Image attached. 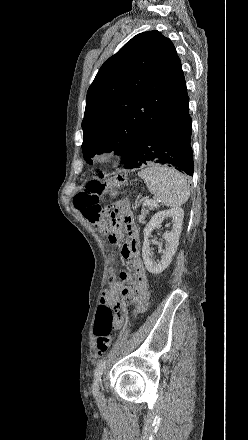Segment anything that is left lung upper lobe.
I'll use <instances>...</instances> for the list:
<instances>
[{
    "instance_id": "5c2ea615",
    "label": "left lung upper lobe",
    "mask_w": 248,
    "mask_h": 440,
    "mask_svg": "<svg viewBox=\"0 0 248 440\" xmlns=\"http://www.w3.org/2000/svg\"><path fill=\"white\" fill-rule=\"evenodd\" d=\"M181 62L158 31L134 36L99 69L82 121L85 160L104 151L125 160L135 141L185 92Z\"/></svg>"
}]
</instances>
